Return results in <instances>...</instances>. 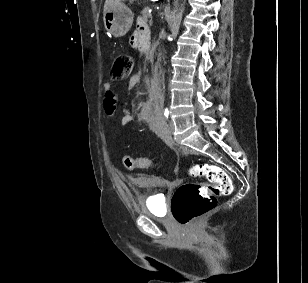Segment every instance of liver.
<instances>
[{
	"label": "liver",
	"instance_id": "liver-1",
	"mask_svg": "<svg viewBox=\"0 0 308 283\" xmlns=\"http://www.w3.org/2000/svg\"><path fill=\"white\" fill-rule=\"evenodd\" d=\"M122 0H106L104 4V13L113 5L121 3Z\"/></svg>",
	"mask_w": 308,
	"mask_h": 283
}]
</instances>
